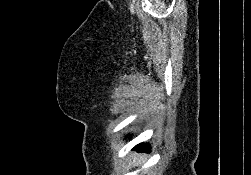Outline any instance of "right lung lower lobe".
Segmentation results:
<instances>
[{
	"instance_id": "98d812e1",
	"label": "right lung lower lobe",
	"mask_w": 251,
	"mask_h": 175,
	"mask_svg": "<svg viewBox=\"0 0 251 175\" xmlns=\"http://www.w3.org/2000/svg\"><path fill=\"white\" fill-rule=\"evenodd\" d=\"M134 149H136L137 151H146L149 152L150 151V145L149 144H139L137 145Z\"/></svg>"
}]
</instances>
